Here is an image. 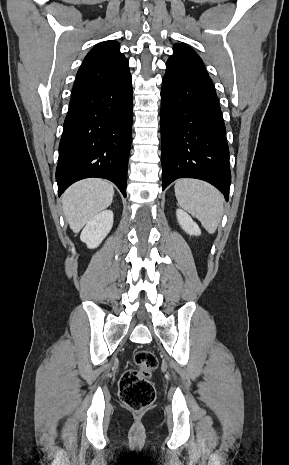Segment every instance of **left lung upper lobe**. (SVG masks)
Masks as SVG:
<instances>
[{"mask_svg": "<svg viewBox=\"0 0 289 465\" xmlns=\"http://www.w3.org/2000/svg\"><path fill=\"white\" fill-rule=\"evenodd\" d=\"M166 67L167 70L208 74L201 58L193 49L184 44L174 45L173 55L169 57Z\"/></svg>", "mask_w": 289, "mask_h": 465, "instance_id": "1", "label": "left lung upper lobe"}]
</instances>
